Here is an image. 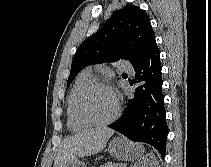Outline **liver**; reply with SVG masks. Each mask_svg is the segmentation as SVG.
Segmentation results:
<instances>
[{"label":"liver","instance_id":"liver-1","mask_svg":"<svg viewBox=\"0 0 211 167\" xmlns=\"http://www.w3.org/2000/svg\"><path fill=\"white\" fill-rule=\"evenodd\" d=\"M113 134L114 130L99 127L67 137L58 150L53 167H64L78 158L100 152Z\"/></svg>","mask_w":211,"mask_h":167}]
</instances>
